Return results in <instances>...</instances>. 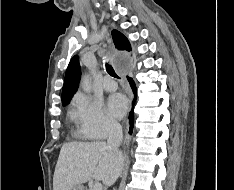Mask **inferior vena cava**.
Returning a JSON list of instances; mask_svg holds the SVG:
<instances>
[{"label": "inferior vena cava", "mask_w": 234, "mask_h": 190, "mask_svg": "<svg viewBox=\"0 0 234 190\" xmlns=\"http://www.w3.org/2000/svg\"><path fill=\"white\" fill-rule=\"evenodd\" d=\"M123 139L122 127L117 122H110L107 139V148L118 158H122L119 146Z\"/></svg>", "instance_id": "inferior-vena-cava-1"}]
</instances>
